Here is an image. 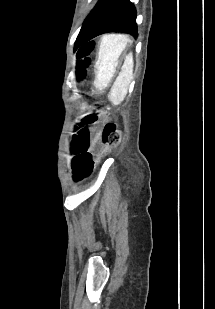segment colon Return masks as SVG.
I'll return each instance as SVG.
<instances>
[{
    "label": "colon",
    "instance_id": "5ec220e1",
    "mask_svg": "<svg viewBox=\"0 0 215 309\" xmlns=\"http://www.w3.org/2000/svg\"><path fill=\"white\" fill-rule=\"evenodd\" d=\"M121 134L116 123L109 122L104 126L102 132V141L110 150L120 143Z\"/></svg>",
    "mask_w": 215,
    "mask_h": 309
}]
</instances>
